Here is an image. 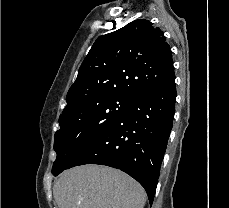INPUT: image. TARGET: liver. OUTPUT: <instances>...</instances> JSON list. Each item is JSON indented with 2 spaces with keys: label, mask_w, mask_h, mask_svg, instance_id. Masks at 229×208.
<instances>
[{
  "label": "liver",
  "mask_w": 229,
  "mask_h": 208,
  "mask_svg": "<svg viewBox=\"0 0 229 208\" xmlns=\"http://www.w3.org/2000/svg\"><path fill=\"white\" fill-rule=\"evenodd\" d=\"M59 208H144L145 190L130 176L108 166L66 170L53 188Z\"/></svg>",
  "instance_id": "1"
}]
</instances>
